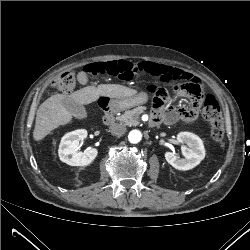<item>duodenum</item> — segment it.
I'll return each instance as SVG.
<instances>
[{"mask_svg":"<svg viewBox=\"0 0 250 250\" xmlns=\"http://www.w3.org/2000/svg\"><path fill=\"white\" fill-rule=\"evenodd\" d=\"M100 106H101L102 113H103V121H104V123H106L108 125L112 124L113 121H114V110H115L114 106L111 103L107 102V101L101 102ZM159 122L160 121L157 118H154V117L150 120V124L152 126L158 125Z\"/></svg>","mask_w":250,"mask_h":250,"instance_id":"duodenum-1","label":"duodenum"}]
</instances>
